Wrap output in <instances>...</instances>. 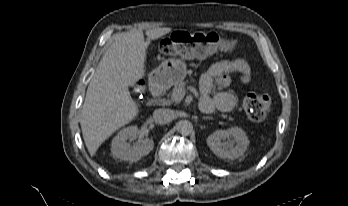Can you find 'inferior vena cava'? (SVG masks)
Returning <instances> with one entry per match:
<instances>
[{
    "label": "inferior vena cava",
    "instance_id": "obj_1",
    "mask_svg": "<svg viewBox=\"0 0 348 206\" xmlns=\"http://www.w3.org/2000/svg\"><path fill=\"white\" fill-rule=\"evenodd\" d=\"M175 118L173 110L168 108H159L153 112V119L158 124H167Z\"/></svg>",
    "mask_w": 348,
    "mask_h": 206
}]
</instances>
